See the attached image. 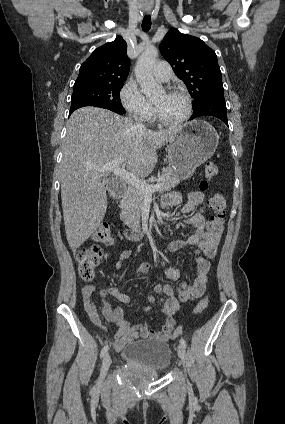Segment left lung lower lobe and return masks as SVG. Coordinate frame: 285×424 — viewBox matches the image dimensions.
<instances>
[{"mask_svg":"<svg viewBox=\"0 0 285 424\" xmlns=\"http://www.w3.org/2000/svg\"><path fill=\"white\" fill-rule=\"evenodd\" d=\"M193 110L194 112L190 119L199 116H214L228 125L224 94H216L204 99L198 106L194 107Z\"/></svg>","mask_w":285,"mask_h":424,"instance_id":"1","label":"left lung lower lobe"}]
</instances>
